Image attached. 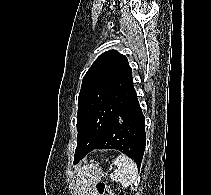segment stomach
I'll list each match as a JSON object with an SVG mask.
<instances>
[{
    "instance_id": "stomach-1",
    "label": "stomach",
    "mask_w": 211,
    "mask_h": 195,
    "mask_svg": "<svg viewBox=\"0 0 211 195\" xmlns=\"http://www.w3.org/2000/svg\"><path fill=\"white\" fill-rule=\"evenodd\" d=\"M101 176L102 171L98 164L85 166L81 180L82 188L78 195H92V188L101 179Z\"/></svg>"
}]
</instances>
